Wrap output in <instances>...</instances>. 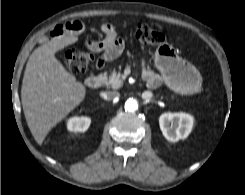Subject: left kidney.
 <instances>
[{
    "label": "left kidney",
    "mask_w": 245,
    "mask_h": 195,
    "mask_svg": "<svg viewBox=\"0 0 245 195\" xmlns=\"http://www.w3.org/2000/svg\"><path fill=\"white\" fill-rule=\"evenodd\" d=\"M159 125L168 141L177 142L190 134L193 117L186 113H164L159 118Z\"/></svg>",
    "instance_id": "left-kidney-1"
}]
</instances>
